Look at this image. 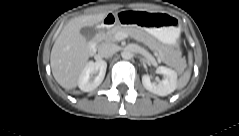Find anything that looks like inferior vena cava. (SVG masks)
I'll return each mask as SVG.
<instances>
[{"label": "inferior vena cava", "instance_id": "inferior-vena-cava-1", "mask_svg": "<svg viewBox=\"0 0 239 136\" xmlns=\"http://www.w3.org/2000/svg\"><path fill=\"white\" fill-rule=\"evenodd\" d=\"M118 50V46L112 43H104L99 46L98 54L103 58H108L113 56Z\"/></svg>", "mask_w": 239, "mask_h": 136}]
</instances>
